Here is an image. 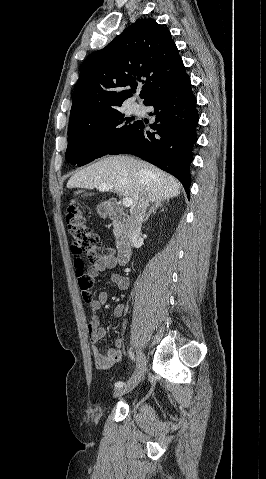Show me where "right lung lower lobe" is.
<instances>
[{"mask_svg": "<svg viewBox=\"0 0 266 479\" xmlns=\"http://www.w3.org/2000/svg\"><path fill=\"white\" fill-rule=\"evenodd\" d=\"M153 106L155 122L147 131L142 121H136L123 140L108 154L128 153L148 161L174 175L189 196L192 146L197 141L198 123L196 98L187 74L158 90L144 101Z\"/></svg>", "mask_w": 266, "mask_h": 479, "instance_id": "obj_1", "label": "right lung lower lobe"}]
</instances>
